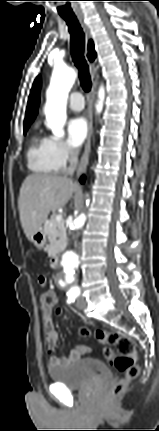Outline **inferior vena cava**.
<instances>
[{"label":"inferior vena cava","mask_w":159,"mask_h":431,"mask_svg":"<svg viewBox=\"0 0 159 431\" xmlns=\"http://www.w3.org/2000/svg\"><path fill=\"white\" fill-rule=\"evenodd\" d=\"M69 153H70L69 168L67 170L66 176L73 175L78 163V156L73 148L69 147Z\"/></svg>","instance_id":"inferior-vena-cava-1"}]
</instances>
